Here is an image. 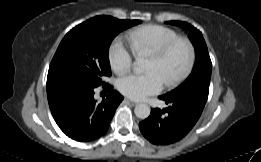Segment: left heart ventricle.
I'll return each instance as SVG.
<instances>
[{
    "label": "left heart ventricle",
    "instance_id": "b2bd125f",
    "mask_svg": "<svg viewBox=\"0 0 261 162\" xmlns=\"http://www.w3.org/2000/svg\"><path fill=\"white\" fill-rule=\"evenodd\" d=\"M187 57L186 48L179 46L164 60H159L150 55L146 69L149 71H159L166 83L183 70L187 62Z\"/></svg>",
    "mask_w": 261,
    "mask_h": 162
}]
</instances>
